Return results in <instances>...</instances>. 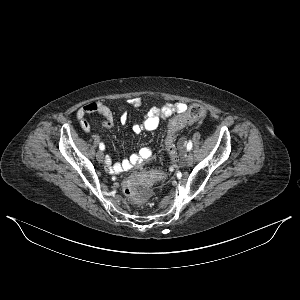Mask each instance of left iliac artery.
Masks as SVG:
<instances>
[{"instance_id":"44dca946","label":"left iliac artery","mask_w":300,"mask_h":300,"mask_svg":"<svg viewBox=\"0 0 300 300\" xmlns=\"http://www.w3.org/2000/svg\"><path fill=\"white\" fill-rule=\"evenodd\" d=\"M192 149V141H189L187 144V150L190 151Z\"/></svg>"}]
</instances>
